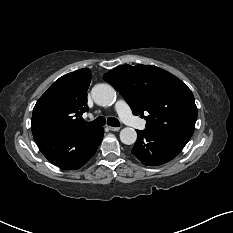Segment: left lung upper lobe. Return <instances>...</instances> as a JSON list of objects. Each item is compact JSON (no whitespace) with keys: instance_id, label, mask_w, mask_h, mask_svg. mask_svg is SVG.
Instances as JSON below:
<instances>
[{"instance_id":"left-lung-upper-lobe-1","label":"left lung upper lobe","mask_w":233,"mask_h":233,"mask_svg":"<svg viewBox=\"0 0 233 233\" xmlns=\"http://www.w3.org/2000/svg\"><path fill=\"white\" fill-rule=\"evenodd\" d=\"M103 78L118 90L135 115L145 117L146 129L190 139L197 119L191 90L171 73L153 66L122 65Z\"/></svg>"}]
</instances>
